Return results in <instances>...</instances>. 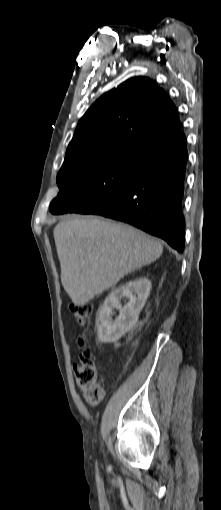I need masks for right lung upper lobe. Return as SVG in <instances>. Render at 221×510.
Segmentation results:
<instances>
[{
    "label": "right lung upper lobe",
    "mask_w": 221,
    "mask_h": 510,
    "mask_svg": "<svg viewBox=\"0 0 221 510\" xmlns=\"http://www.w3.org/2000/svg\"><path fill=\"white\" fill-rule=\"evenodd\" d=\"M182 135L177 109L164 90L149 78H131L87 110L64 161L127 146L151 150Z\"/></svg>",
    "instance_id": "obj_1"
}]
</instances>
